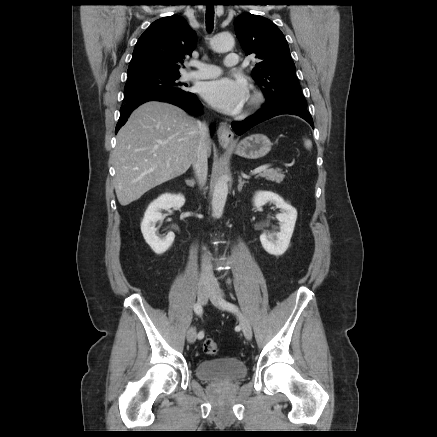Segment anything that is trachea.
<instances>
[{
	"label": "trachea",
	"mask_w": 437,
	"mask_h": 437,
	"mask_svg": "<svg viewBox=\"0 0 437 437\" xmlns=\"http://www.w3.org/2000/svg\"><path fill=\"white\" fill-rule=\"evenodd\" d=\"M206 29L208 32H211L213 30L214 25V7L209 6L206 8Z\"/></svg>",
	"instance_id": "1"
}]
</instances>
